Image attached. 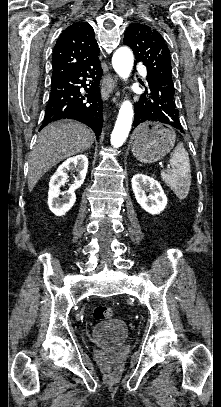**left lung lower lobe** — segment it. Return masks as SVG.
<instances>
[{
    "mask_svg": "<svg viewBox=\"0 0 221 407\" xmlns=\"http://www.w3.org/2000/svg\"><path fill=\"white\" fill-rule=\"evenodd\" d=\"M147 81L149 87L135 105L133 126L136 127L145 121H154L165 123L183 132L175 103L174 86L157 79Z\"/></svg>",
    "mask_w": 221,
    "mask_h": 407,
    "instance_id": "1",
    "label": "left lung lower lobe"
}]
</instances>
